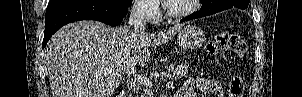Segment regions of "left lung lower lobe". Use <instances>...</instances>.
<instances>
[{
	"label": "left lung lower lobe",
	"instance_id": "left-lung-lower-lobe-1",
	"mask_svg": "<svg viewBox=\"0 0 302 97\" xmlns=\"http://www.w3.org/2000/svg\"><path fill=\"white\" fill-rule=\"evenodd\" d=\"M247 8H248V6L240 7V9H247ZM217 12H220V10L213 8L211 5H209L207 7L202 6L198 12H195V13L183 18L181 20V22L196 19V18H201V17L208 16V15H211V14H214Z\"/></svg>",
	"mask_w": 302,
	"mask_h": 97
}]
</instances>
